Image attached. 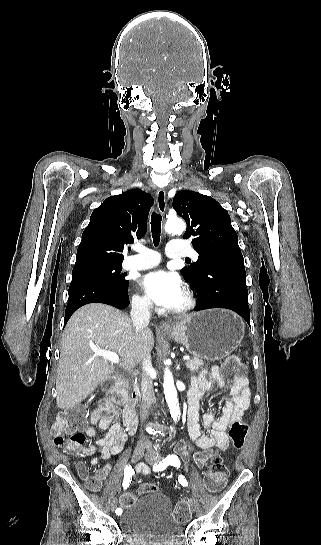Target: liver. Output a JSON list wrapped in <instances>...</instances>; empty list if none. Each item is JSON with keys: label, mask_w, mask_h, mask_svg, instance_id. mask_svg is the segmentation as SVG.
I'll list each match as a JSON object with an SVG mask.
<instances>
[{"label": "liver", "mask_w": 321, "mask_h": 545, "mask_svg": "<svg viewBox=\"0 0 321 545\" xmlns=\"http://www.w3.org/2000/svg\"><path fill=\"white\" fill-rule=\"evenodd\" d=\"M154 347L151 329H135L122 311L90 303L69 319L62 337L61 359L57 371L58 409L80 405L96 387L114 373L97 351L118 353L122 367H136Z\"/></svg>", "instance_id": "liver-1"}]
</instances>
